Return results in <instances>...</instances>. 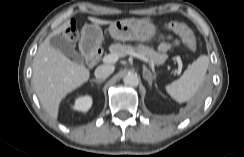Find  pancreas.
Wrapping results in <instances>:
<instances>
[{
	"instance_id": "obj_1",
	"label": "pancreas",
	"mask_w": 244,
	"mask_h": 157,
	"mask_svg": "<svg viewBox=\"0 0 244 157\" xmlns=\"http://www.w3.org/2000/svg\"><path fill=\"white\" fill-rule=\"evenodd\" d=\"M109 50L112 54H117L119 57H125L130 51H134L136 53L142 54L150 59L153 64L160 65L165 62L167 59L166 54H161L156 52L153 48L139 45V46H132V45H124L121 43L112 44L109 47Z\"/></svg>"
}]
</instances>
